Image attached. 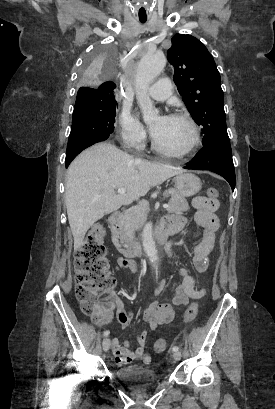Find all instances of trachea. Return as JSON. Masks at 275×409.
Instances as JSON below:
<instances>
[{
  "instance_id": "1",
  "label": "trachea",
  "mask_w": 275,
  "mask_h": 409,
  "mask_svg": "<svg viewBox=\"0 0 275 409\" xmlns=\"http://www.w3.org/2000/svg\"><path fill=\"white\" fill-rule=\"evenodd\" d=\"M147 20H140L141 23H145Z\"/></svg>"
}]
</instances>
